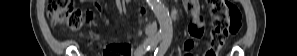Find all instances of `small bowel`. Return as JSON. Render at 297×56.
I'll list each match as a JSON object with an SVG mask.
<instances>
[{"label": "small bowel", "mask_w": 297, "mask_h": 56, "mask_svg": "<svg viewBox=\"0 0 297 56\" xmlns=\"http://www.w3.org/2000/svg\"><path fill=\"white\" fill-rule=\"evenodd\" d=\"M185 7L192 16V21L188 27L190 39L184 43V49L188 51L193 47L195 40L204 36L205 23L199 14L196 1H187ZM85 38H94V41H102L99 47L106 48L103 53L104 56H114L119 52L123 55H128L129 53V47L126 44H110L107 41V36H103V33H85ZM186 56H191V54H187Z\"/></svg>", "instance_id": "small-bowel-1"}]
</instances>
